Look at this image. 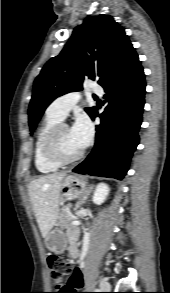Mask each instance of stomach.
<instances>
[{
  "label": "stomach",
  "instance_id": "obj_1",
  "mask_svg": "<svg viewBox=\"0 0 170 293\" xmlns=\"http://www.w3.org/2000/svg\"><path fill=\"white\" fill-rule=\"evenodd\" d=\"M87 192V181L75 174L66 175L60 189L61 197L65 200L80 198ZM47 249L56 254L62 253L67 247L66 236L60 229H53L45 237Z\"/></svg>",
  "mask_w": 170,
  "mask_h": 293
}]
</instances>
